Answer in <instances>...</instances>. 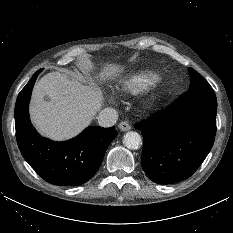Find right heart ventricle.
I'll list each match as a JSON object with an SVG mask.
<instances>
[{"instance_id":"right-heart-ventricle-1","label":"right heart ventricle","mask_w":233,"mask_h":233,"mask_svg":"<svg viewBox=\"0 0 233 233\" xmlns=\"http://www.w3.org/2000/svg\"><path fill=\"white\" fill-rule=\"evenodd\" d=\"M160 78V74L153 70L139 69L132 72L121 81L118 92L137 95L154 86Z\"/></svg>"}]
</instances>
